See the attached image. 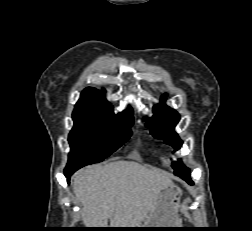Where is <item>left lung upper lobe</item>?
I'll use <instances>...</instances> for the list:
<instances>
[{"label": "left lung upper lobe", "instance_id": "5c2ea615", "mask_svg": "<svg viewBox=\"0 0 252 231\" xmlns=\"http://www.w3.org/2000/svg\"><path fill=\"white\" fill-rule=\"evenodd\" d=\"M165 101L166 97L162 96L161 103L153 108L154 116L146 120V126L151 128L150 132L155 138L164 139L166 143L174 145L175 150H178L183 141L178 137L174 128L180 120V115L174 109L166 106ZM172 166L178 176L190 173L182 161H174Z\"/></svg>", "mask_w": 252, "mask_h": 231}]
</instances>
